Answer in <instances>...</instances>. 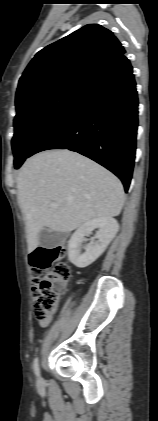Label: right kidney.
Returning a JSON list of instances; mask_svg holds the SVG:
<instances>
[{
    "mask_svg": "<svg viewBox=\"0 0 158 421\" xmlns=\"http://www.w3.org/2000/svg\"><path fill=\"white\" fill-rule=\"evenodd\" d=\"M98 229L94 239L85 246V252H81V244L84 236ZM119 225L116 219L111 217L97 218L85 222L71 236L68 242V258L78 268H85L96 261L106 250L109 243L118 232Z\"/></svg>",
    "mask_w": 158,
    "mask_h": 421,
    "instance_id": "obj_1",
    "label": "right kidney"
}]
</instances>
